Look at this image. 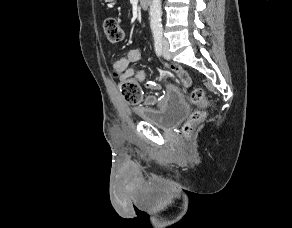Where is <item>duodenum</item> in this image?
<instances>
[{"instance_id":"1","label":"duodenum","mask_w":292,"mask_h":228,"mask_svg":"<svg viewBox=\"0 0 292 228\" xmlns=\"http://www.w3.org/2000/svg\"><path fill=\"white\" fill-rule=\"evenodd\" d=\"M151 0H139V5L141 8L146 9L150 6Z\"/></svg>"}]
</instances>
